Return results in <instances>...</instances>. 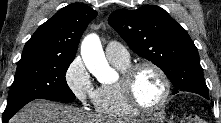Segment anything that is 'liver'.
<instances>
[{"label":"liver","instance_id":"liver-1","mask_svg":"<svg viewBox=\"0 0 221 123\" xmlns=\"http://www.w3.org/2000/svg\"><path fill=\"white\" fill-rule=\"evenodd\" d=\"M120 120H107L109 123ZM104 120L77 108L37 100L24 106L9 123H103ZM136 123V121H134ZM138 123V122H137Z\"/></svg>","mask_w":221,"mask_h":123}]
</instances>
